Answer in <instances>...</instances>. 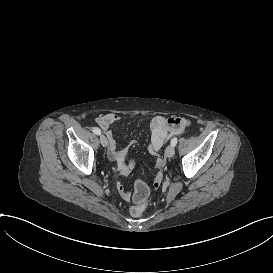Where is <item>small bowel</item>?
<instances>
[{
	"label": "small bowel",
	"mask_w": 273,
	"mask_h": 273,
	"mask_svg": "<svg viewBox=\"0 0 273 273\" xmlns=\"http://www.w3.org/2000/svg\"><path fill=\"white\" fill-rule=\"evenodd\" d=\"M95 121L98 127L106 135L107 142H108V155L110 159L118 163L119 165L118 169L120 172L122 173L127 172V174H129L135 168V162L132 159L128 158L127 156L128 148L118 147L116 139L112 132L113 125L117 124L120 121L119 115H117L116 113H106V114L99 115ZM187 123L188 122L186 119L179 116H164V115L154 116L149 123V129H150V140L148 143L149 153L152 155H158V152L163 147L165 141L171 135L182 133ZM161 160L163 159L158 158L156 160V167L161 162ZM161 180H162V174L156 173L154 177V183H153L154 189L161 188ZM116 190L118 191L119 194L123 196L125 201L131 200V195L129 191L125 189L122 184H117Z\"/></svg>",
	"instance_id": "obj_1"
}]
</instances>
